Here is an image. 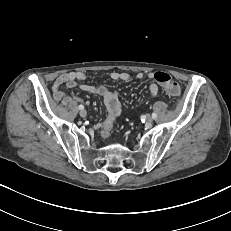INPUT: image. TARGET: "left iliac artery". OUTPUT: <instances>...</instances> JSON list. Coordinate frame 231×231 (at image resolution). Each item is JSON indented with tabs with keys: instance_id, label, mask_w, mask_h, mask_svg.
Returning a JSON list of instances; mask_svg holds the SVG:
<instances>
[{
	"instance_id": "1",
	"label": "left iliac artery",
	"mask_w": 231,
	"mask_h": 231,
	"mask_svg": "<svg viewBox=\"0 0 231 231\" xmlns=\"http://www.w3.org/2000/svg\"><path fill=\"white\" fill-rule=\"evenodd\" d=\"M156 117H157V114H156L155 112H153V113H152V118H153V119H156Z\"/></svg>"
}]
</instances>
